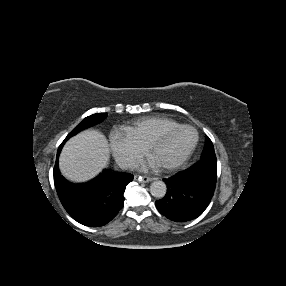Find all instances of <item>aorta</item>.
Listing matches in <instances>:
<instances>
[{
	"label": "aorta",
	"mask_w": 286,
	"mask_h": 286,
	"mask_svg": "<svg viewBox=\"0 0 286 286\" xmlns=\"http://www.w3.org/2000/svg\"><path fill=\"white\" fill-rule=\"evenodd\" d=\"M167 192V186L163 181L157 180L151 183L150 193L155 198H163Z\"/></svg>",
	"instance_id": "1"
}]
</instances>
